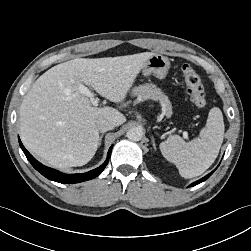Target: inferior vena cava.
I'll use <instances>...</instances> for the list:
<instances>
[{
    "mask_svg": "<svg viewBox=\"0 0 251 251\" xmlns=\"http://www.w3.org/2000/svg\"><path fill=\"white\" fill-rule=\"evenodd\" d=\"M96 125H97L98 130L102 133L112 130L115 127V125L111 121L104 118L99 119Z\"/></svg>",
    "mask_w": 251,
    "mask_h": 251,
    "instance_id": "1",
    "label": "inferior vena cava"
}]
</instances>
